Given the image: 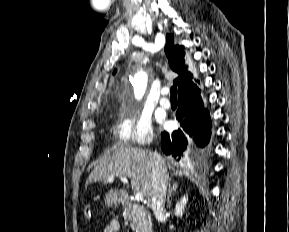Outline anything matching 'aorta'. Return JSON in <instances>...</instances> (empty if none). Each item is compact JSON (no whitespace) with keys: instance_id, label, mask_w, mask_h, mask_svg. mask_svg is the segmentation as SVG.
I'll use <instances>...</instances> for the list:
<instances>
[{"instance_id":"762f6f07","label":"aorta","mask_w":289,"mask_h":232,"mask_svg":"<svg viewBox=\"0 0 289 232\" xmlns=\"http://www.w3.org/2000/svg\"><path fill=\"white\" fill-rule=\"evenodd\" d=\"M146 86H147V75L143 72H140L136 77V85H135L138 97H141L144 94Z\"/></svg>"}]
</instances>
